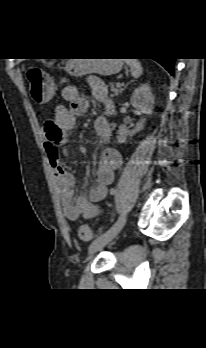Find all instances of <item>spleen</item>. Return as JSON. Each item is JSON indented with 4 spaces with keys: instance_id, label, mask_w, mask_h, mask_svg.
Instances as JSON below:
<instances>
[{
    "instance_id": "obj_1",
    "label": "spleen",
    "mask_w": 206,
    "mask_h": 348,
    "mask_svg": "<svg viewBox=\"0 0 206 348\" xmlns=\"http://www.w3.org/2000/svg\"><path fill=\"white\" fill-rule=\"evenodd\" d=\"M125 62L130 67L132 77L139 78L142 75L143 68L137 59H126Z\"/></svg>"
}]
</instances>
